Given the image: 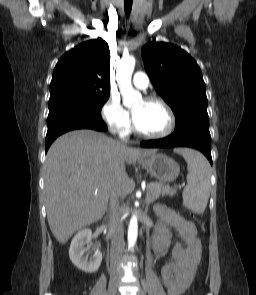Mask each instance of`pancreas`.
<instances>
[{"mask_svg":"<svg viewBox=\"0 0 256 295\" xmlns=\"http://www.w3.org/2000/svg\"><path fill=\"white\" fill-rule=\"evenodd\" d=\"M177 193L175 188L159 182H152L147 186V199L154 201L160 196H174Z\"/></svg>","mask_w":256,"mask_h":295,"instance_id":"pancreas-1","label":"pancreas"}]
</instances>
